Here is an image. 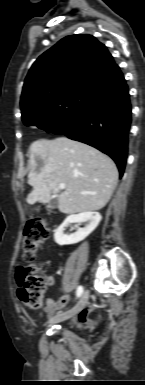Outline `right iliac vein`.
<instances>
[{"mask_svg":"<svg viewBox=\"0 0 145 385\" xmlns=\"http://www.w3.org/2000/svg\"><path fill=\"white\" fill-rule=\"evenodd\" d=\"M88 299H89V292L86 290L82 293L78 303L73 308H71L70 310H68L64 313L58 314V315L50 318V323L60 322V321H64V320H67V319L74 317L87 304Z\"/></svg>","mask_w":145,"mask_h":385,"instance_id":"1","label":"right iliac vein"}]
</instances>
